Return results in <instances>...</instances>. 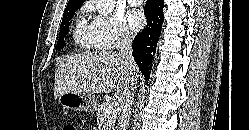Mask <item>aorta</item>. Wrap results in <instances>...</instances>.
I'll list each match as a JSON object with an SVG mask.
<instances>
[{"instance_id":"1","label":"aorta","mask_w":249,"mask_h":130,"mask_svg":"<svg viewBox=\"0 0 249 130\" xmlns=\"http://www.w3.org/2000/svg\"><path fill=\"white\" fill-rule=\"evenodd\" d=\"M96 8L101 15L112 14L115 7V0H95Z\"/></svg>"}]
</instances>
